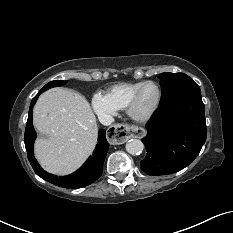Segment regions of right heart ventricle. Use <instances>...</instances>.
I'll return each instance as SVG.
<instances>
[{"mask_svg": "<svg viewBox=\"0 0 233 233\" xmlns=\"http://www.w3.org/2000/svg\"><path fill=\"white\" fill-rule=\"evenodd\" d=\"M142 83L143 82L119 83L108 88L105 95L117 109H126L131 96Z\"/></svg>", "mask_w": 233, "mask_h": 233, "instance_id": "right-heart-ventricle-1", "label": "right heart ventricle"}]
</instances>
